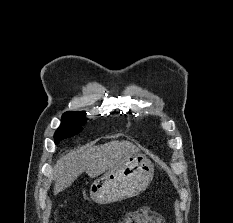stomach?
Segmentation results:
<instances>
[{
  "label": "stomach",
  "instance_id": "stomach-1",
  "mask_svg": "<svg viewBox=\"0 0 233 223\" xmlns=\"http://www.w3.org/2000/svg\"><path fill=\"white\" fill-rule=\"evenodd\" d=\"M154 177V165L139 149L126 153L113 167L89 185V195L95 203H113L135 197L147 189Z\"/></svg>",
  "mask_w": 233,
  "mask_h": 223
}]
</instances>
